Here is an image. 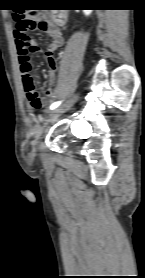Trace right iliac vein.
<instances>
[{"label": "right iliac vein", "mask_w": 145, "mask_h": 278, "mask_svg": "<svg viewBox=\"0 0 145 278\" xmlns=\"http://www.w3.org/2000/svg\"><path fill=\"white\" fill-rule=\"evenodd\" d=\"M71 105H72V103H70V104H68V105L61 106V107H59V108L53 110V111L50 113V118H51V119H54L59 113L64 112V111L67 110V108H69Z\"/></svg>", "instance_id": "obj_1"}]
</instances>
